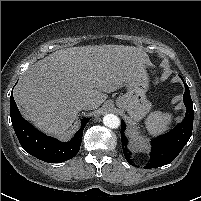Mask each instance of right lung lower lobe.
Masks as SVG:
<instances>
[{"label": "right lung lower lobe", "instance_id": "obj_1", "mask_svg": "<svg viewBox=\"0 0 201 201\" xmlns=\"http://www.w3.org/2000/svg\"><path fill=\"white\" fill-rule=\"evenodd\" d=\"M10 116L16 136L22 148L39 160L48 163H61L73 158L79 151L83 129L90 118L81 122V128L69 142H60L36 130L20 114L14 101L13 94L10 96Z\"/></svg>", "mask_w": 201, "mask_h": 201}]
</instances>
